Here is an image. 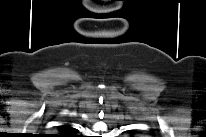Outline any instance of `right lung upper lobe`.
<instances>
[{"mask_svg": "<svg viewBox=\"0 0 206 137\" xmlns=\"http://www.w3.org/2000/svg\"><path fill=\"white\" fill-rule=\"evenodd\" d=\"M74 131L75 130L70 125L59 126V132L61 134H72Z\"/></svg>", "mask_w": 206, "mask_h": 137, "instance_id": "1", "label": "right lung upper lobe"}]
</instances>
